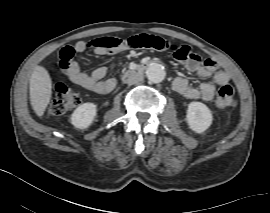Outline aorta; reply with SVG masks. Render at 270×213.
<instances>
[{
	"label": "aorta",
	"mask_w": 270,
	"mask_h": 213,
	"mask_svg": "<svg viewBox=\"0 0 270 213\" xmlns=\"http://www.w3.org/2000/svg\"><path fill=\"white\" fill-rule=\"evenodd\" d=\"M165 69L162 65L154 63L151 64L146 70V76L152 83H160L165 78Z\"/></svg>",
	"instance_id": "1"
}]
</instances>
